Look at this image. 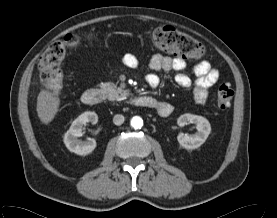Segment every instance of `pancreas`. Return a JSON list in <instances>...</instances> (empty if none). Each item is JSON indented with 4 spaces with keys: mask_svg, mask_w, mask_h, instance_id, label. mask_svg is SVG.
Masks as SVG:
<instances>
[{
    "mask_svg": "<svg viewBox=\"0 0 277 218\" xmlns=\"http://www.w3.org/2000/svg\"><path fill=\"white\" fill-rule=\"evenodd\" d=\"M99 87L101 93L110 101L124 100L130 95L128 89L117 87V85L112 82L101 83Z\"/></svg>",
    "mask_w": 277,
    "mask_h": 218,
    "instance_id": "obj_1",
    "label": "pancreas"
}]
</instances>
